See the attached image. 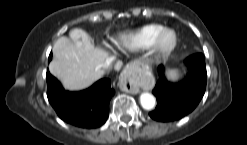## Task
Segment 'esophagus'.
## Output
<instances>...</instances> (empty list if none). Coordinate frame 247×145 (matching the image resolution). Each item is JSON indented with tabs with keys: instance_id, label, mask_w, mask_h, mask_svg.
I'll return each mask as SVG.
<instances>
[{
	"instance_id": "1",
	"label": "esophagus",
	"mask_w": 247,
	"mask_h": 145,
	"mask_svg": "<svg viewBox=\"0 0 247 145\" xmlns=\"http://www.w3.org/2000/svg\"><path fill=\"white\" fill-rule=\"evenodd\" d=\"M141 82V72L134 66H127L119 79V87L122 91L137 94Z\"/></svg>"
}]
</instances>
